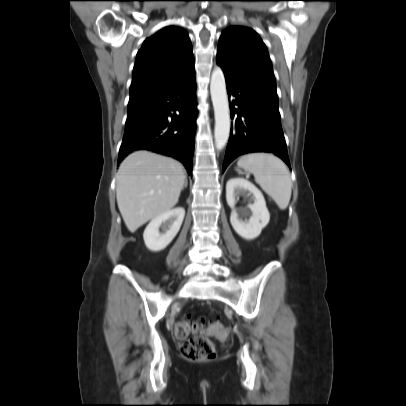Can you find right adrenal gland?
I'll list each match as a JSON object with an SVG mask.
<instances>
[{
  "label": "right adrenal gland",
  "instance_id": "obj_1",
  "mask_svg": "<svg viewBox=\"0 0 406 406\" xmlns=\"http://www.w3.org/2000/svg\"><path fill=\"white\" fill-rule=\"evenodd\" d=\"M188 186V180L187 178L185 179V183H184V188H186Z\"/></svg>",
  "mask_w": 406,
  "mask_h": 406
}]
</instances>
